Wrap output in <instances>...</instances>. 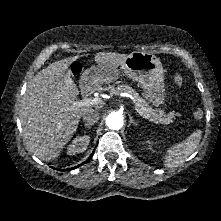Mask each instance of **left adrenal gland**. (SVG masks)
Masks as SVG:
<instances>
[{
    "label": "left adrenal gland",
    "mask_w": 221,
    "mask_h": 221,
    "mask_svg": "<svg viewBox=\"0 0 221 221\" xmlns=\"http://www.w3.org/2000/svg\"><path fill=\"white\" fill-rule=\"evenodd\" d=\"M131 125L136 126L137 123L133 120L132 116L129 115V126H131Z\"/></svg>",
    "instance_id": "left-adrenal-gland-1"
}]
</instances>
